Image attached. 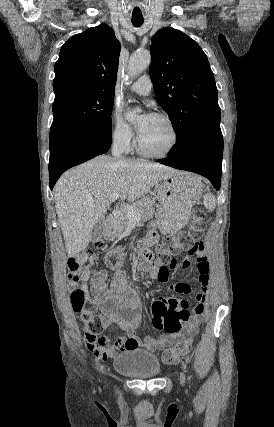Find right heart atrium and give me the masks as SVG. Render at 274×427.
Wrapping results in <instances>:
<instances>
[{
  "mask_svg": "<svg viewBox=\"0 0 274 427\" xmlns=\"http://www.w3.org/2000/svg\"><path fill=\"white\" fill-rule=\"evenodd\" d=\"M110 139L123 151L127 152L133 148V133L122 119L118 109H113L110 115Z\"/></svg>",
  "mask_w": 274,
  "mask_h": 427,
  "instance_id": "1",
  "label": "right heart atrium"
}]
</instances>
